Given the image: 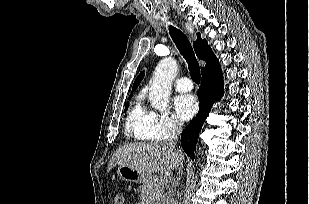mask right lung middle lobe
Segmentation results:
<instances>
[{
	"label": "right lung middle lobe",
	"instance_id": "obj_1",
	"mask_svg": "<svg viewBox=\"0 0 309 204\" xmlns=\"http://www.w3.org/2000/svg\"><path fill=\"white\" fill-rule=\"evenodd\" d=\"M128 104H129V103H127V104H126L125 110H127V109H128Z\"/></svg>",
	"mask_w": 309,
	"mask_h": 204
}]
</instances>
